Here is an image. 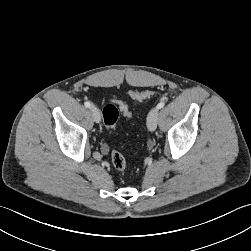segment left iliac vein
<instances>
[{
    "mask_svg": "<svg viewBox=\"0 0 251 251\" xmlns=\"http://www.w3.org/2000/svg\"><path fill=\"white\" fill-rule=\"evenodd\" d=\"M158 122V109L153 108L147 116V127L150 131H155Z\"/></svg>",
    "mask_w": 251,
    "mask_h": 251,
    "instance_id": "left-iliac-vein-1",
    "label": "left iliac vein"
}]
</instances>
